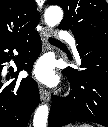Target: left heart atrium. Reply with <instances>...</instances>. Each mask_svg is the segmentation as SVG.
Wrapping results in <instances>:
<instances>
[{
	"label": "left heart atrium",
	"instance_id": "39dd6f15",
	"mask_svg": "<svg viewBox=\"0 0 108 127\" xmlns=\"http://www.w3.org/2000/svg\"><path fill=\"white\" fill-rule=\"evenodd\" d=\"M33 74L37 80L44 84H53L57 77L50 59H41L34 67Z\"/></svg>",
	"mask_w": 108,
	"mask_h": 127
}]
</instances>
